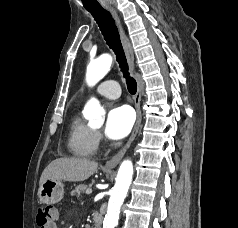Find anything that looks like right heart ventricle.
I'll return each instance as SVG.
<instances>
[{
  "label": "right heart ventricle",
  "mask_w": 238,
  "mask_h": 228,
  "mask_svg": "<svg viewBox=\"0 0 238 228\" xmlns=\"http://www.w3.org/2000/svg\"><path fill=\"white\" fill-rule=\"evenodd\" d=\"M68 148L73 155L79 157H92L97 152L96 132L78 112L71 116L69 122Z\"/></svg>",
  "instance_id": "1"
}]
</instances>
